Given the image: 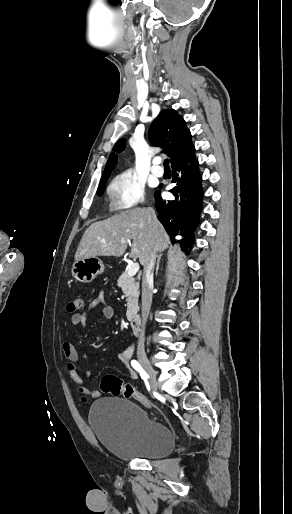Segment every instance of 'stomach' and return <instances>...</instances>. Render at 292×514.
Listing matches in <instances>:
<instances>
[{
	"mask_svg": "<svg viewBox=\"0 0 292 514\" xmlns=\"http://www.w3.org/2000/svg\"><path fill=\"white\" fill-rule=\"evenodd\" d=\"M104 264L99 258H82V260H75L72 266V276L78 282L89 284L93 282L96 276L103 274Z\"/></svg>",
	"mask_w": 292,
	"mask_h": 514,
	"instance_id": "0dacf381",
	"label": "stomach"
}]
</instances>
